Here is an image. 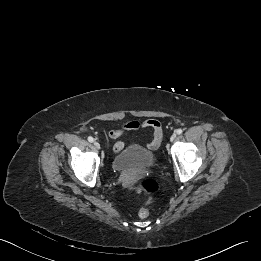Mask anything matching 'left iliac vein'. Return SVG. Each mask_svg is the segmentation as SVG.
Returning a JSON list of instances; mask_svg holds the SVG:
<instances>
[{
  "instance_id": "1",
  "label": "left iliac vein",
  "mask_w": 261,
  "mask_h": 261,
  "mask_svg": "<svg viewBox=\"0 0 261 261\" xmlns=\"http://www.w3.org/2000/svg\"><path fill=\"white\" fill-rule=\"evenodd\" d=\"M175 139H176V134L173 133V134L171 135V137H170V141L173 142V141H175Z\"/></svg>"
}]
</instances>
